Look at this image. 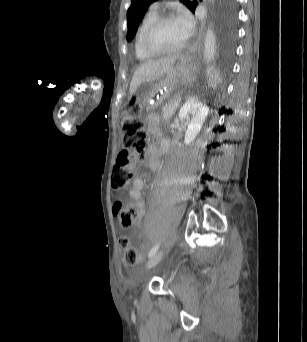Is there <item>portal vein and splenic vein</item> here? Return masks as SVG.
Instances as JSON below:
<instances>
[{
	"label": "portal vein and splenic vein",
	"mask_w": 307,
	"mask_h": 342,
	"mask_svg": "<svg viewBox=\"0 0 307 342\" xmlns=\"http://www.w3.org/2000/svg\"><path fill=\"white\" fill-rule=\"evenodd\" d=\"M173 107H174L175 109H177L179 106H178L177 104H175Z\"/></svg>",
	"instance_id": "obj_1"
}]
</instances>
